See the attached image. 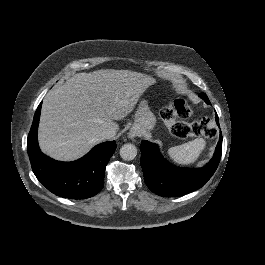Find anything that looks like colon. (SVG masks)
Instances as JSON below:
<instances>
[{"mask_svg": "<svg viewBox=\"0 0 265 265\" xmlns=\"http://www.w3.org/2000/svg\"><path fill=\"white\" fill-rule=\"evenodd\" d=\"M191 113V108L187 102L182 99H177L171 105L163 109L161 118L170 132L176 137L215 136V130L209 125V121L205 118L193 123H188L186 119Z\"/></svg>", "mask_w": 265, "mask_h": 265, "instance_id": "5ec220e1", "label": "colon"}]
</instances>
